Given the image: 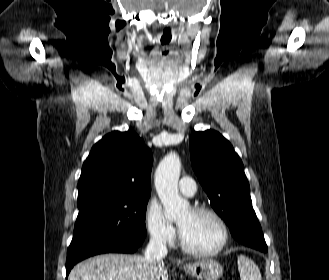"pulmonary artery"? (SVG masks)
<instances>
[{
  "label": "pulmonary artery",
  "instance_id": "pulmonary-artery-1",
  "mask_svg": "<svg viewBox=\"0 0 329 280\" xmlns=\"http://www.w3.org/2000/svg\"><path fill=\"white\" fill-rule=\"evenodd\" d=\"M179 190L182 194L192 196L196 192V184L190 177H182L178 184Z\"/></svg>",
  "mask_w": 329,
  "mask_h": 280
}]
</instances>
